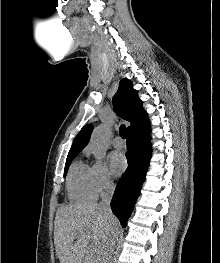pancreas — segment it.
Wrapping results in <instances>:
<instances>
[{"label":"pancreas","mask_w":220,"mask_h":263,"mask_svg":"<svg viewBox=\"0 0 220 263\" xmlns=\"http://www.w3.org/2000/svg\"><path fill=\"white\" fill-rule=\"evenodd\" d=\"M103 258L99 256H95L93 263H103Z\"/></svg>","instance_id":"pancreas-1"}]
</instances>
